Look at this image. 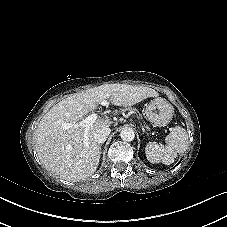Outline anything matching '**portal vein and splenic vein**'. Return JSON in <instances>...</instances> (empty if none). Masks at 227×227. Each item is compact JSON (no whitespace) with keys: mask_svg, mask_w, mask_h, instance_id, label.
<instances>
[{"mask_svg":"<svg viewBox=\"0 0 227 227\" xmlns=\"http://www.w3.org/2000/svg\"><path fill=\"white\" fill-rule=\"evenodd\" d=\"M97 118H98V114L92 113L91 115L87 116L85 119L80 121L78 126L89 128L93 123L96 122Z\"/></svg>","mask_w":227,"mask_h":227,"instance_id":"1","label":"portal vein and splenic vein"}]
</instances>
